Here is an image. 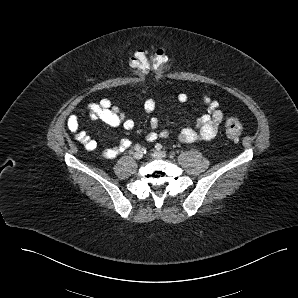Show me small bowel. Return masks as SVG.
<instances>
[{"label": "small bowel", "instance_id": "c3829d8e", "mask_svg": "<svg viewBox=\"0 0 298 298\" xmlns=\"http://www.w3.org/2000/svg\"><path fill=\"white\" fill-rule=\"evenodd\" d=\"M175 98L178 102L184 103L188 100V95L182 92L179 93ZM202 102L205 105L207 111L197 119L196 129L184 128L179 132L178 138L182 143L193 144L201 141H210L218 132L219 126L223 121V112L220 109L219 102L212 99L208 95L203 96ZM143 107L147 113H153L156 108V101L154 99H147L144 102ZM86 111L92 120L102 121L111 127H122L125 130L130 131L135 125L132 119L127 118L125 113H123L116 105L106 98L101 99L96 103L87 105ZM67 124L70 131L74 134L75 139L80 142L86 150H98L97 142L86 132L79 130L78 115H71L68 118ZM149 124L150 130L145 136V139L148 142H153L158 138H169V131L162 130L157 132L159 126V121L157 118L152 117ZM130 146L131 141L128 138H123L117 145L102 150L101 155L104 158L112 159L129 149Z\"/></svg>", "mask_w": 298, "mask_h": 298}]
</instances>
